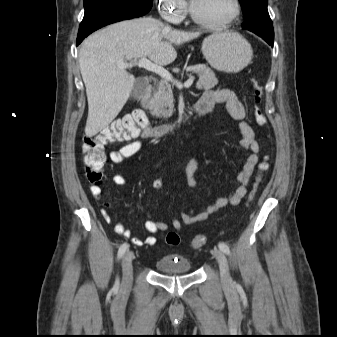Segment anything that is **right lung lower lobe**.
Returning <instances> with one entry per match:
<instances>
[{
    "mask_svg": "<svg viewBox=\"0 0 337 337\" xmlns=\"http://www.w3.org/2000/svg\"><path fill=\"white\" fill-rule=\"evenodd\" d=\"M152 3L140 4L129 0H95L86 5L84 18L80 24L77 45L95 30L121 20L145 15Z\"/></svg>",
    "mask_w": 337,
    "mask_h": 337,
    "instance_id": "right-lung-lower-lobe-1",
    "label": "right lung lower lobe"
}]
</instances>
